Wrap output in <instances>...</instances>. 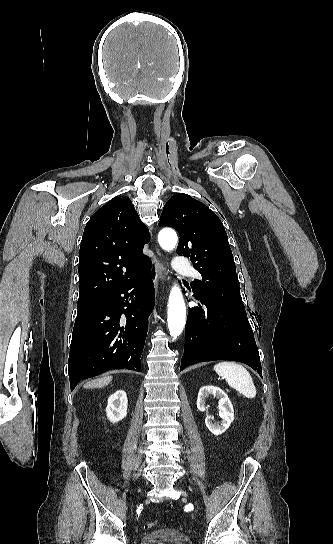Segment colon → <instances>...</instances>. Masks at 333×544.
<instances>
[{"mask_svg":"<svg viewBox=\"0 0 333 544\" xmlns=\"http://www.w3.org/2000/svg\"><path fill=\"white\" fill-rule=\"evenodd\" d=\"M157 524H158V523H157L156 521H150V522H148V523L146 524L145 527H146L147 529L151 530V529L156 528V527H157Z\"/></svg>","mask_w":333,"mask_h":544,"instance_id":"obj_1","label":"colon"}]
</instances>
